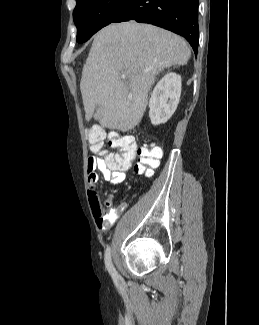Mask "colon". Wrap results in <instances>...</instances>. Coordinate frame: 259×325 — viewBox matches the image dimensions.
I'll list each match as a JSON object with an SVG mask.
<instances>
[{"label":"colon","instance_id":"1","mask_svg":"<svg viewBox=\"0 0 259 325\" xmlns=\"http://www.w3.org/2000/svg\"><path fill=\"white\" fill-rule=\"evenodd\" d=\"M86 136L92 151L100 152L106 139L105 133L99 128L92 127L86 129ZM107 139L110 146L117 150L116 154L119 156L118 166L120 168L130 166L137 155L139 161L134 166L136 174L151 176L153 170L158 167L162 156L160 148L154 145L137 146L132 137L115 133L110 134Z\"/></svg>","mask_w":259,"mask_h":325}]
</instances>
